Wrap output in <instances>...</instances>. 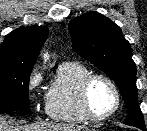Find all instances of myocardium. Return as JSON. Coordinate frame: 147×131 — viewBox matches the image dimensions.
<instances>
[{
    "label": "myocardium",
    "instance_id": "f54148a6",
    "mask_svg": "<svg viewBox=\"0 0 147 131\" xmlns=\"http://www.w3.org/2000/svg\"><path fill=\"white\" fill-rule=\"evenodd\" d=\"M96 79H102V80L106 81L109 84V86L112 88L113 93L115 95L114 108L110 112H108L107 114H104V115L94 114L91 107H90L89 90H90L91 84ZM79 101H80L81 110H82L84 116L88 120L95 121V122H101V121H105V120L111 118L119 110V108L121 106V94H120L119 88L116 85V83L108 75L103 74V73H90L88 76H86L83 79V81L80 85Z\"/></svg>",
    "mask_w": 147,
    "mask_h": 131
}]
</instances>
